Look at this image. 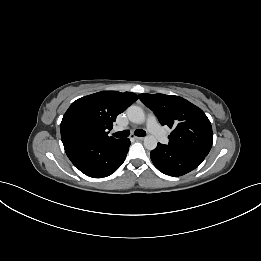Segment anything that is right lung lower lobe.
I'll return each mask as SVG.
<instances>
[{
    "instance_id": "98d812e1",
    "label": "right lung lower lobe",
    "mask_w": 261,
    "mask_h": 261,
    "mask_svg": "<svg viewBox=\"0 0 261 261\" xmlns=\"http://www.w3.org/2000/svg\"><path fill=\"white\" fill-rule=\"evenodd\" d=\"M130 146L129 139L76 140L64 143L71 162L82 173L93 178L113 174L124 162Z\"/></svg>"
}]
</instances>
